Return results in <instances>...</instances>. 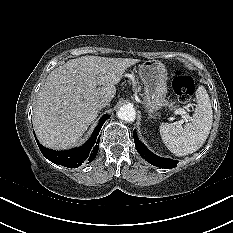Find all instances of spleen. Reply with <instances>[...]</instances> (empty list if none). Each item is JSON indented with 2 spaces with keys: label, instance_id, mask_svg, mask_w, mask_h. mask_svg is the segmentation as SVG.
I'll return each mask as SVG.
<instances>
[{
  "label": "spleen",
  "instance_id": "1",
  "mask_svg": "<svg viewBox=\"0 0 233 233\" xmlns=\"http://www.w3.org/2000/svg\"><path fill=\"white\" fill-rule=\"evenodd\" d=\"M197 107L191 122L184 127L161 123L160 135L166 147L176 156L192 154L200 149L210 133L213 112L209 95L203 86L196 91Z\"/></svg>",
  "mask_w": 233,
  "mask_h": 233
}]
</instances>
